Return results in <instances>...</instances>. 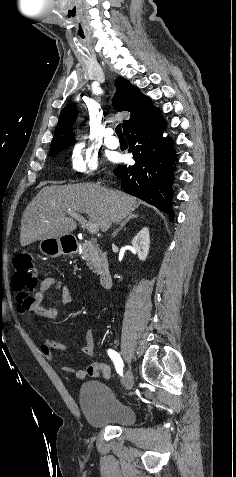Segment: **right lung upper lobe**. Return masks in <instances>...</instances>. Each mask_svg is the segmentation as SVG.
<instances>
[{
    "mask_svg": "<svg viewBox=\"0 0 236 477\" xmlns=\"http://www.w3.org/2000/svg\"><path fill=\"white\" fill-rule=\"evenodd\" d=\"M116 93L113 97V106L118 111H129L131 117L123 121V130L126 135L138 127L153 124L160 118L159 110L151 103L149 97L143 95L138 88L124 78H117ZM77 117L75 104H68L61 112L57 123L50 150L68 148L75 143L71 127Z\"/></svg>",
    "mask_w": 236,
    "mask_h": 477,
    "instance_id": "right-lung-upper-lobe-1",
    "label": "right lung upper lobe"
}]
</instances>
